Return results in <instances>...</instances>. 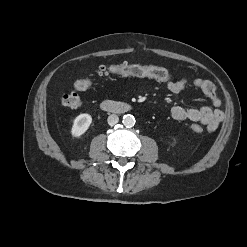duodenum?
Here are the masks:
<instances>
[{
	"label": "duodenum",
	"instance_id": "duodenum-1",
	"mask_svg": "<svg viewBox=\"0 0 247 247\" xmlns=\"http://www.w3.org/2000/svg\"><path fill=\"white\" fill-rule=\"evenodd\" d=\"M101 107L105 111L114 113H125L130 110V106L128 104L112 100L103 101Z\"/></svg>",
	"mask_w": 247,
	"mask_h": 247
}]
</instances>
